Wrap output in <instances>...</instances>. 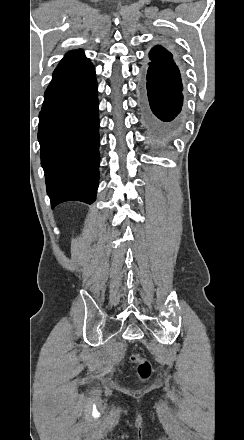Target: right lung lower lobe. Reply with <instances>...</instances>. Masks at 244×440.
Here are the masks:
<instances>
[{"instance_id": "1", "label": "right lung lower lobe", "mask_w": 244, "mask_h": 440, "mask_svg": "<svg viewBox=\"0 0 244 440\" xmlns=\"http://www.w3.org/2000/svg\"><path fill=\"white\" fill-rule=\"evenodd\" d=\"M98 86L94 66H58L39 114L41 164L52 208L95 201L99 181Z\"/></svg>"}]
</instances>
